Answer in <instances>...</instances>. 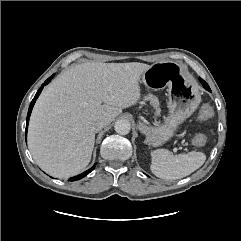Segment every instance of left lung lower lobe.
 Listing matches in <instances>:
<instances>
[{
  "instance_id": "0a47b994",
  "label": "left lung lower lobe",
  "mask_w": 241,
  "mask_h": 241,
  "mask_svg": "<svg viewBox=\"0 0 241 241\" xmlns=\"http://www.w3.org/2000/svg\"><path fill=\"white\" fill-rule=\"evenodd\" d=\"M199 80L206 90L211 91L208 84L203 79L199 78Z\"/></svg>"
}]
</instances>
